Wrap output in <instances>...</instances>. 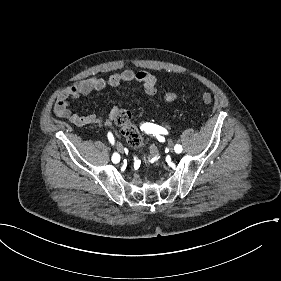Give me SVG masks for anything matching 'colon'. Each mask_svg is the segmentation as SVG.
<instances>
[{"label":"colon","mask_w":281,"mask_h":281,"mask_svg":"<svg viewBox=\"0 0 281 281\" xmlns=\"http://www.w3.org/2000/svg\"><path fill=\"white\" fill-rule=\"evenodd\" d=\"M201 100L205 104H210L213 102L214 97L211 93H203L201 94ZM115 123L121 128L123 136L133 147H141L143 136L137 126L131 122L130 114L127 110H120L115 114Z\"/></svg>","instance_id":"colon-1"}]
</instances>
